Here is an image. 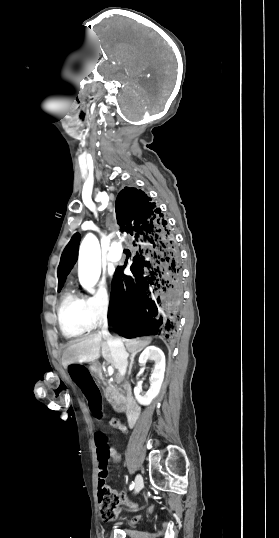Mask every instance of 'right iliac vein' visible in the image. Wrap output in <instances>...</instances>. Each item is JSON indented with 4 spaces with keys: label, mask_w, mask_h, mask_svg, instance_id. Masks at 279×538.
Returning <instances> with one entry per match:
<instances>
[{
    "label": "right iliac vein",
    "mask_w": 279,
    "mask_h": 538,
    "mask_svg": "<svg viewBox=\"0 0 279 538\" xmlns=\"http://www.w3.org/2000/svg\"><path fill=\"white\" fill-rule=\"evenodd\" d=\"M142 488H143V478L140 474H138L135 478V494L139 493Z\"/></svg>",
    "instance_id": "63e3f726"
}]
</instances>
